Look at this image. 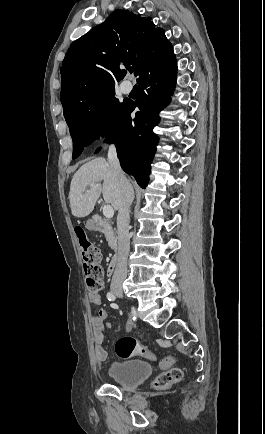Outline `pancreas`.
<instances>
[{
    "instance_id": "pancreas-1",
    "label": "pancreas",
    "mask_w": 265,
    "mask_h": 434,
    "mask_svg": "<svg viewBox=\"0 0 265 434\" xmlns=\"http://www.w3.org/2000/svg\"><path fill=\"white\" fill-rule=\"evenodd\" d=\"M105 238L108 242L109 248H111V250H116L117 240H116V236H115L111 226H108L107 232H105Z\"/></svg>"
}]
</instances>
